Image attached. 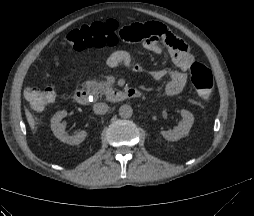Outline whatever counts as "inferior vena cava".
<instances>
[{"instance_id": "inferior-vena-cava-1", "label": "inferior vena cava", "mask_w": 254, "mask_h": 216, "mask_svg": "<svg viewBox=\"0 0 254 216\" xmlns=\"http://www.w3.org/2000/svg\"><path fill=\"white\" fill-rule=\"evenodd\" d=\"M109 107L106 103H96L93 106V111L95 114L102 115L108 111Z\"/></svg>"}]
</instances>
